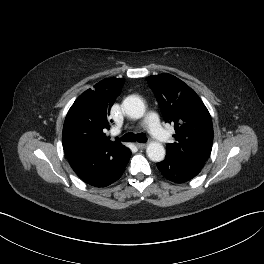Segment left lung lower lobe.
Wrapping results in <instances>:
<instances>
[{
  "label": "left lung lower lobe",
  "mask_w": 264,
  "mask_h": 264,
  "mask_svg": "<svg viewBox=\"0 0 264 264\" xmlns=\"http://www.w3.org/2000/svg\"><path fill=\"white\" fill-rule=\"evenodd\" d=\"M157 167L168 180L174 183H185L198 175L203 165L180 162L166 155L164 161L157 163Z\"/></svg>",
  "instance_id": "1"
}]
</instances>
